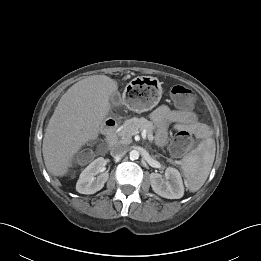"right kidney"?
<instances>
[{"instance_id": "1", "label": "right kidney", "mask_w": 261, "mask_h": 261, "mask_svg": "<svg viewBox=\"0 0 261 261\" xmlns=\"http://www.w3.org/2000/svg\"><path fill=\"white\" fill-rule=\"evenodd\" d=\"M104 166L105 160L103 157H99L89 164L80 174L76 190L81 194H94L101 190L109 178Z\"/></svg>"}]
</instances>
